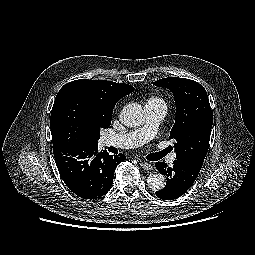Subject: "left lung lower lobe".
I'll return each instance as SVG.
<instances>
[{
    "label": "left lung lower lobe",
    "mask_w": 255,
    "mask_h": 255,
    "mask_svg": "<svg viewBox=\"0 0 255 255\" xmlns=\"http://www.w3.org/2000/svg\"><path fill=\"white\" fill-rule=\"evenodd\" d=\"M157 170L167 177L163 189L156 191L157 197L163 200H173L182 196L196 180L200 166L183 159H176L172 167L165 162H156Z\"/></svg>",
    "instance_id": "1"
}]
</instances>
